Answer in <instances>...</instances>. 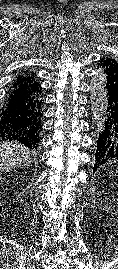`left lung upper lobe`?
<instances>
[{"mask_svg":"<svg viewBox=\"0 0 118 269\" xmlns=\"http://www.w3.org/2000/svg\"><path fill=\"white\" fill-rule=\"evenodd\" d=\"M100 64L106 76V90L118 93V62L105 57L100 59Z\"/></svg>","mask_w":118,"mask_h":269,"instance_id":"5c2ea615","label":"left lung upper lobe"}]
</instances>
